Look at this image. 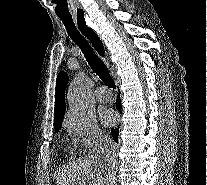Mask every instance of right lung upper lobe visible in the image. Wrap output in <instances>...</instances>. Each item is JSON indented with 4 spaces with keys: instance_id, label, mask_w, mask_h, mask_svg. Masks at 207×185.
Listing matches in <instances>:
<instances>
[{
    "instance_id": "1",
    "label": "right lung upper lobe",
    "mask_w": 207,
    "mask_h": 185,
    "mask_svg": "<svg viewBox=\"0 0 207 185\" xmlns=\"http://www.w3.org/2000/svg\"><path fill=\"white\" fill-rule=\"evenodd\" d=\"M67 83L68 75L65 72L61 71L58 74L56 81V103L54 110L55 129L61 127L66 110L65 89Z\"/></svg>"
}]
</instances>
